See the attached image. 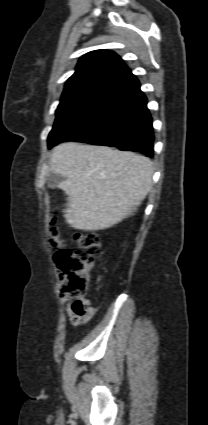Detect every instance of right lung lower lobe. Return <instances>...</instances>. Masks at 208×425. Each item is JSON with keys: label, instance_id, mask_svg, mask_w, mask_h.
I'll list each match as a JSON object with an SVG mask.
<instances>
[{"label": "right lung lower lobe", "instance_id": "98d812e1", "mask_svg": "<svg viewBox=\"0 0 208 425\" xmlns=\"http://www.w3.org/2000/svg\"><path fill=\"white\" fill-rule=\"evenodd\" d=\"M49 135L55 139L51 147L63 141H80L153 157L154 135L147 99L130 70L96 98L65 115Z\"/></svg>", "mask_w": 208, "mask_h": 425}]
</instances>
